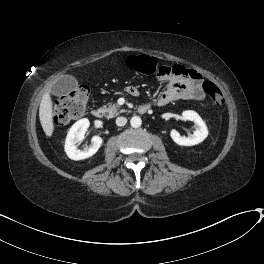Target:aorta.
Instances as JSON below:
<instances>
[{
    "mask_svg": "<svg viewBox=\"0 0 264 264\" xmlns=\"http://www.w3.org/2000/svg\"><path fill=\"white\" fill-rule=\"evenodd\" d=\"M130 124L133 128H138L142 124V120L139 116H133L130 120Z\"/></svg>",
    "mask_w": 264,
    "mask_h": 264,
    "instance_id": "obj_1",
    "label": "aorta"
}]
</instances>
